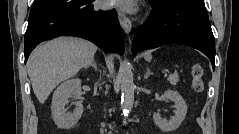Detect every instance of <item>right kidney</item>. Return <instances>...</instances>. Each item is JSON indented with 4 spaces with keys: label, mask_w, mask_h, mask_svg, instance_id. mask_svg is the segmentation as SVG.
Masks as SVG:
<instances>
[{
    "label": "right kidney",
    "mask_w": 239,
    "mask_h": 134,
    "mask_svg": "<svg viewBox=\"0 0 239 134\" xmlns=\"http://www.w3.org/2000/svg\"><path fill=\"white\" fill-rule=\"evenodd\" d=\"M81 80L73 78L63 82L54 92L52 98V117L59 128L69 129L77 124L83 113V105L79 102L73 112H66L65 105L69 98H80Z\"/></svg>",
    "instance_id": "obj_1"
}]
</instances>
